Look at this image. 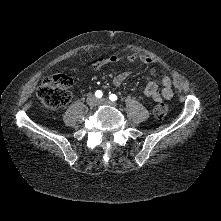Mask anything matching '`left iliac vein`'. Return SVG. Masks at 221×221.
Returning a JSON list of instances; mask_svg holds the SVG:
<instances>
[{"label": "left iliac vein", "mask_w": 221, "mask_h": 221, "mask_svg": "<svg viewBox=\"0 0 221 221\" xmlns=\"http://www.w3.org/2000/svg\"><path fill=\"white\" fill-rule=\"evenodd\" d=\"M98 103L99 104H103V105H110V106H116V104L115 103H112L109 99H107V98H102V99H99L98 100Z\"/></svg>", "instance_id": "left-iliac-vein-1"}]
</instances>
